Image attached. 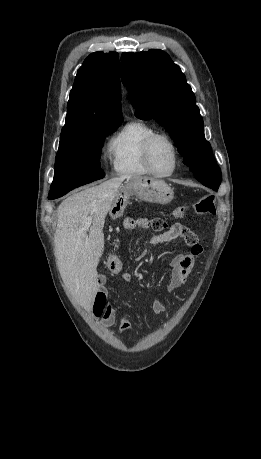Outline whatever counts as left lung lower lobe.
I'll return each mask as SVG.
<instances>
[{"label":"left lung lower lobe","mask_w":261,"mask_h":459,"mask_svg":"<svg viewBox=\"0 0 261 459\" xmlns=\"http://www.w3.org/2000/svg\"><path fill=\"white\" fill-rule=\"evenodd\" d=\"M202 184L207 186V187H209V188H211V189H213V190H215V191L218 190V187L220 185V184L215 183V182H203Z\"/></svg>","instance_id":"obj_1"}]
</instances>
